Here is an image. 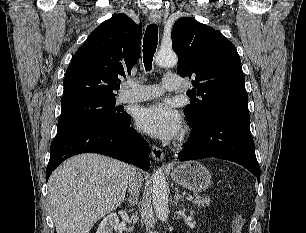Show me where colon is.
Instances as JSON below:
<instances>
[{"label":"colon","mask_w":306,"mask_h":233,"mask_svg":"<svg viewBox=\"0 0 306 233\" xmlns=\"http://www.w3.org/2000/svg\"><path fill=\"white\" fill-rule=\"evenodd\" d=\"M244 217L240 214L236 215L233 223V233H241L244 226Z\"/></svg>","instance_id":"1"}]
</instances>
